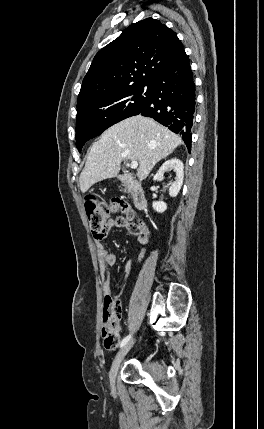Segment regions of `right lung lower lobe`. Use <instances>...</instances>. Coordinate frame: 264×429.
Listing matches in <instances>:
<instances>
[{
  "instance_id": "obj_1",
  "label": "right lung lower lobe",
  "mask_w": 264,
  "mask_h": 429,
  "mask_svg": "<svg viewBox=\"0 0 264 429\" xmlns=\"http://www.w3.org/2000/svg\"><path fill=\"white\" fill-rule=\"evenodd\" d=\"M194 111L195 84L184 51L152 83L151 98L138 114L151 117L181 135L190 151Z\"/></svg>"
}]
</instances>
